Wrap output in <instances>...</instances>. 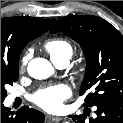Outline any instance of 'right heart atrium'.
<instances>
[{
    "label": "right heart atrium",
    "instance_id": "d8ad5b80",
    "mask_svg": "<svg viewBox=\"0 0 123 123\" xmlns=\"http://www.w3.org/2000/svg\"><path fill=\"white\" fill-rule=\"evenodd\" d=\"M28 55H25L21 61V64H20V70H24L25 67H26V64L28 62Z\"/></svg>",
    "mask_w": 123,
    "mask_h": 123
}]
</instances>
